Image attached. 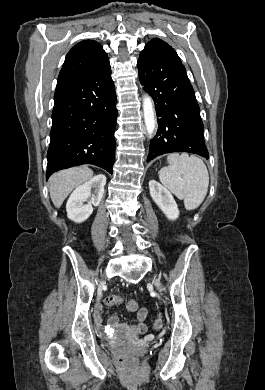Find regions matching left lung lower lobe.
Here are the masks:
<instances>
[{
    "mask_svg": "<svg viewBox=\"0 0 265 390\" xmlns=\"http://www.w3.org/2000/svg\"><path fill=\"white\" fill-rule=\"evenodd\" d=\"M138 71L159 117L147 162L173 152H188L208 159L200 108L183 64L140 54Z\"/></svg>",
    "mask_w": 265,
    "mask_h": 390,
    "instance_id": "0a47b994",
    "label": "left lung lower lobe"
}]
</instances>
